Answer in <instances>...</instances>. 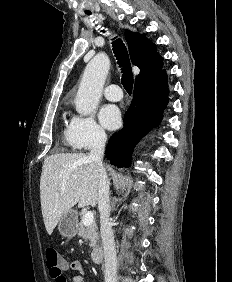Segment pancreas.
I'll return each instance as SVG.
<instances>
[{"instance_id":"obj_1","label":"pancreas","mask_w":232,"mask_h":282,"mask_svg":"<svg viewBox=\"0 0 232 282\" xmlns=\"http://www.w3.org/2000/svg\"><path fill=\"white\" fill-rule=\"evenodd\" d=\"M97 230H98V227L95 222L87 226V225H84L83 222L81 221L79 223L78 235L80 237H85L87 240H89L90 241L89 246L91 248H95L99 240Z\"/></svg>"}]
</instances>
